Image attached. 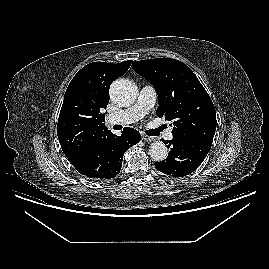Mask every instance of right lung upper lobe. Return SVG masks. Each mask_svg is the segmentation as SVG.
<instances>
[{
	"label": "right lung upper lobe",
	"instance_id": "1",
	"mask_svg": "<svg viewBox=\"0 0 269 269\" xmlns=\"http://www.w3.org/2000/svg\"><path fill=\"white\" fill-rule=\"evenodd\" d=\"M132 61L119 64L93 62L70 82L61 107L57 135L67 158L79 155L111 133L102 113L109 102V87L124 75Z\"/></svg>",
	"mask_w": 269,
	"mask_h": 269
}]
</instances>
